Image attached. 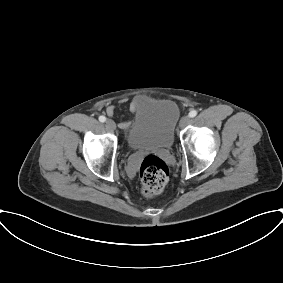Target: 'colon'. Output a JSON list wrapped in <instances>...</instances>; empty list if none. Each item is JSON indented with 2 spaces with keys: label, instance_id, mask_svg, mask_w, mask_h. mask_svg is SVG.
<instances>
[{
  "label": "colon",
  "instance_id": "colon-1",
  "mask_svg": "<svg viewBox=\"0 0 283 283\" xmlns=\"http://www.w3.org/2000/svg\"><path fill=\"white\" fill-rule=\"evenodd\" d=\"M142 194L147 197L159 194L169 180V168L155 155L146 156L139 170Z\"/></svg>",
  "mask_w": 283,
  "mask_h": 283
}]
</instances>
